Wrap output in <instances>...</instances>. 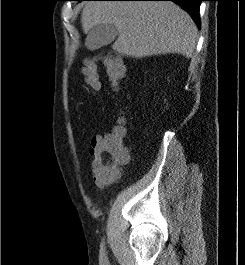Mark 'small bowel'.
<instances>
[{
	"label": "small bowel",
	"instance_id": "obj_1",
	"mask_svg": "<svg viewBox=\"0 0 245 265\" xmlns=\"http://www.w3.org/2000/svg\"><path fill=\"white\" fill-rule=\"evenodd\" d=\"M104 136L96 135L92 138L89 153L93 158L94 153L96 150L100 147V145L103 143ZM92 174H93V181L97 188L103 189L110 184H112L113 179L107 177L105 174L97 171L93 165H92Z\"/></svg>",
	"mask_w": 245,
	"mask_h": 265
}]
</instances>
